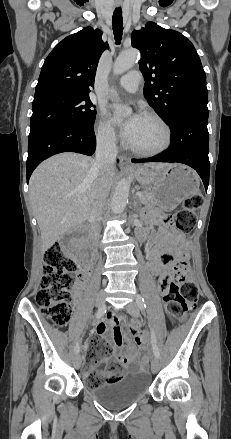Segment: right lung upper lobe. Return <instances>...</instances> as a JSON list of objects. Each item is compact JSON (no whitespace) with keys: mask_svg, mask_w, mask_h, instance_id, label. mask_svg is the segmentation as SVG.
I'll use <instances>...</instances> for the list:
<instances>
[{"mask_svg":"<svg viewBox=\"0 0 231 439\" xmlns=\"http://www.w3.org/2000/svg\"><path fill=\"white\" fill-rule=\"evenodd\" d=\"M106 48L102 32L91 27L63 39L42 66L34 99L54 93L89 96L98 60Z\"/></svg>","mask_w":231,"mask_h":439,"instance_id":"1","label":"right lung upper lobe"}]
</instances>
